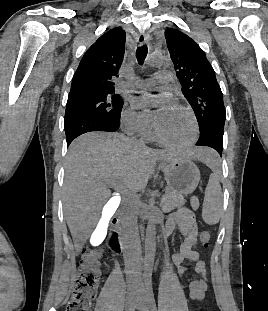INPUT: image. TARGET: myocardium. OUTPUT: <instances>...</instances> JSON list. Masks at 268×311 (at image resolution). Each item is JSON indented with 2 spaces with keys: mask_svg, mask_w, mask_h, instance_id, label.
I'll use <instances>...</instances> for the list:
<instances>
[{
  "mask_svg": "<svg viewBox=\"0 0 268 311\" xmlns=\"http://www.w3.org/2000/svg\"><path fill=\"white\" fill-rule=\"evenodd\" d=\"M177 108L180 109L181 111H183L189 117V119L191 121L192 133H191L190 137L187 140L182 141V142L170 141V140L164 138L162 136V134L160 133L157 121H156L155 126H154V135L158 139V141H160L161 143H163L166 146L173 147L176 149H186V148L191 147L196 142L197 137H198V133H199V126H198L196 116L190 108L183 106V105H178Z\"/></svg>",
  "mask_w": 268,
  "mask_h": 311,
  "instance_id": "f54148a6",
  "label": "myocardium"
}]
</instances>
